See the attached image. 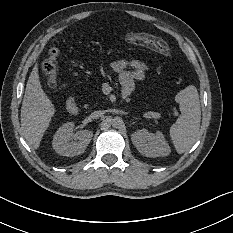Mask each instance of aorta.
Here are the masks:
<instances>
[{
    "instance_id": "obj_1",
    "label": "aorta",
    "mask_w": 233,
    "mask_h": 233,
    "mask_svg": "<svg viewBox=\"0 0 233 233\" xmlns=\"http://www.w3.org/2000/svg\"><path fill=\"white\" fill-rule=\"evenodd\" d=\"M112 124H113V125H115V122H114V120H112Z\"/></svg>"
}]
</instances>
